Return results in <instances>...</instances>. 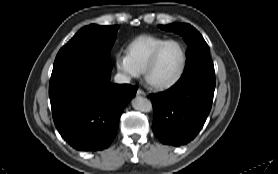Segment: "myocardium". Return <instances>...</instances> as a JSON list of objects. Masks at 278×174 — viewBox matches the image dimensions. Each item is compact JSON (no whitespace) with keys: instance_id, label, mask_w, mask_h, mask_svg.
Here are the masks:
<instances>
[{"instance_id":"obj_1","label":"myocardium","mask_w":278,"mask_h":174,"mask_svg":"<svg viewBox=\"0 0 278 174\" xmlns=\"http://www.w3.org/2000/svg\"><path fill=\"white\" fill-rule=\"evenodd\" d=\"M170 43H176L181 47L182 62H181L180 68L177 71V73L171 79H169L167 81H160V82L153 81L150 77L152 68L154 67L155 62H156L161 50L167 44H170ZM186 65H187V49H186V46L184 45V43L179 40H176V39H168V40H165L164 42H162L159 46H157L156 49L151 54V56L147 62V65L145 67V70H144V77H145L146 82L149 85H151L152 87H154L156 89H167V88H170L173 85H175L181 79V77L185 71Z\"/></svg>"}]
</instances>
